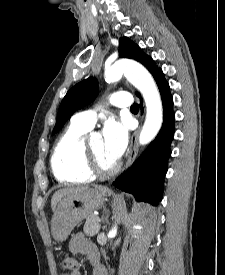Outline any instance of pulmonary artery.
Instances as JSON below:
<instances>
[{"instance_id":"1","label":"pulmonary artery","mask_w":225,"mask_h":275,"mask_svg":"<svg viewBox=\"0 0 225 275\" xmlns=\"http://www.w3.org/2000/svg\"><path fill=\"white\" fill-rule=\"evenodd\" d=\"M111 105L118 108H125L133 105L132 95L128 92H113L109 96ZM97 119L95 111H84L72 117V123L91 129Z\"/></svg>"}]
</instances>
